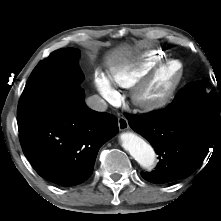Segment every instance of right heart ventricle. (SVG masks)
Returning a JSON list of instances; mask_svg holds the SVG:
<instances>
[{
    "label": "right heart ventricle",
    "mask_w": 221,
    "mask_h": 221,
    "mask_svg": "<svg viewBox=\"0 0 221 221\" xmlns=\"http://www.w3.org/2000/svg\"><path fill=\"white\" fill-rule=\"evenodd\" d=\"M165 55L158 51L145 53L139 62L110 68L111 79L119 86L131 88L147 74H149L159 63L164 61Z\"/></svg>",
    "instance_id": "right-heart-ventricle-1"
}]
</instances>
